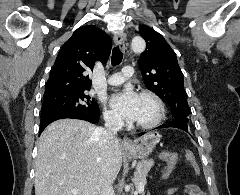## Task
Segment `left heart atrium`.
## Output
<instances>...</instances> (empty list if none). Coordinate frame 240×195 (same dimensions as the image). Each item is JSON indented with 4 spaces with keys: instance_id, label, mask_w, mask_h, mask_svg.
I'll list each match as a JSON object with an SVG mask.
<instances>
[{
    "instance_id": "obj_1",
    "label": "left heart atrium",
    "mask_w": 240,
    "mask_h": 195,
    "mask_svg": "<svg viewBox=\"0 0 240 195\" xmlns=\"http://www.w3.org/2000/svg\"><path fill=\"white\" fill-rule=\"evenodd\" d=\"M115 108L122 114V116L128 120L135 121L140 96L132 91L126 90L120 94H117L112 99Z\"/></svg>"
}]
</instances>
